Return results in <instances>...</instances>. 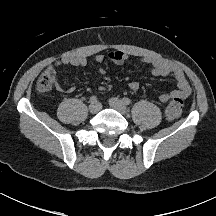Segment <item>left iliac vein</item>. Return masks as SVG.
<instances>
[{
  "label": "left iliac vein",
  "instance_id": "4c4485c4",
  "mask_svg": "<svg viewBox=\"0 0 216 216\" xmlns=\"http://www.w3.org/2000/svg\"><path fill=\"white\" fill-rule=\"evenodd\" d=\"M109 104L112 108L120 112L121 114H126L127 113V107L125 104L118 98H111L109 100Z\"/></svg>",
  "mask_w": 216,
  "mask_h": 216
}]
</instances>
